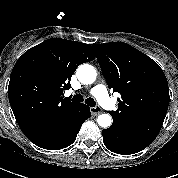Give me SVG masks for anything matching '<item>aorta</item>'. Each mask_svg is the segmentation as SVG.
<instances>
[{"mask_svg":"<svg viewBox=\"0 0 178 178\" xmlns=\"http://www.w3.org/2000/svg\"><path fill=\"white\" fill-rule=\"evenodd\" d=\"M76 75L83 84H92L95 82L97 72L92 65L82 64L77 68ZM97 123L102 128H108L112 124V117L109 114H101L97 118Z\"/></svg>","mask_w":178,"mask_h":178,"instance_id":"762f6f07","label":"aorta"}]
</instances>
